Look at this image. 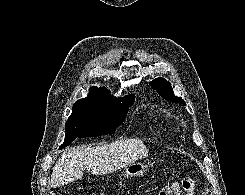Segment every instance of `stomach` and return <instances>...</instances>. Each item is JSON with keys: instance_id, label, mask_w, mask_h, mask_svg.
I'll use <instances>...</instances> for the list:
<instances>
[{"instance_id": "stomach-1", "label": "stomach", "mask_w": 245, "mask_h": 195, "mask_svg": "<svg viewBox=\"0 0 245 195\" xmlns=\"http://www.w3.org/2000/svg\"><path fill=\"white\" fill-rule=\"evenodd\" d=\"M148 165L144 162H134L123 169V177L143 176L147 171Z\"/></svg>"}]
</instances>
